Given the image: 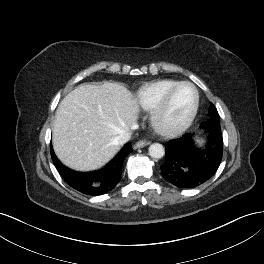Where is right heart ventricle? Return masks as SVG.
Listing matches in <instances>:
<instances>
[{"label": "right heart ventricle", "instance_id": "1", "mask_svg": "<svg viewBox=\"0 0 264 264\" xmlns=\"http://www.w3.org/2000/svg\"><path fill=\"white\" fill-rule=\"evenodd\" d=\"M177 82V80L173 79H161L141 86L135 94L137 104L144 111H152L167 90Z\"/></svg>", "mask_w": 264, "mask_h": 264}]
</instances>
